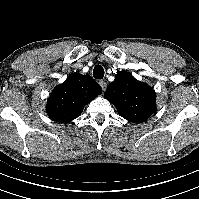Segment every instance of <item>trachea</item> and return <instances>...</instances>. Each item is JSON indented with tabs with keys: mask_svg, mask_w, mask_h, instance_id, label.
Returning <instances> with one entry per match:
<instances>
[{
	"mask_svg": "<svg viewBox=\"0 0 199 199\" xmlns=\"http://www.w3.org/2000/svg\"><path fill=\"white\" fill-rule=\"evenodd\" d=\"M93 77L96 79H102L104 77V69L100 65H96L93 69Z\"/></svg>",
	"mask_w": 199,
	"mask_h": 199,
	"instance_id": "1",
	"label": "trachea"
}]
</instances>
